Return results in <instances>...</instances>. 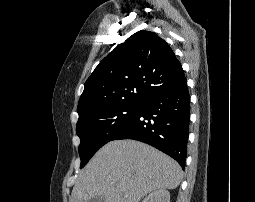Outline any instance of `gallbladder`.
<instances>
[{"instance_id":"gallbladder-1","label":"gallbladder","mask_w":255,"mask_h":202,"mask_svg":"<svg viewBox=\"0 0 255 202\" xmlns=\"http://www.w3.org/2000/svg\"><path fill=\"white\" fill-rule=\"evenodd\" d=\"M88 202H105V199L104 197L96 196L91 198Z\"/></svg>"}]
</instances>
